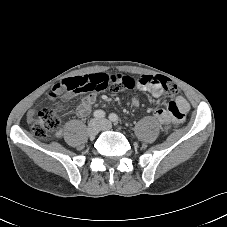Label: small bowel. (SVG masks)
<instances>
[{
	"instance_id": "c3829d8e",
	"label": "small bowel",
	"mask_w": 227,
	"mask_h": 227,
	"mask_svg": "<svg viewBox=\"0 0 227 227\" xmlns=\"http://www.w3.org/2000/svg\"><path fill=\"white\" fill-rule=\"evenodd\" d=\"M109 82L110 75L108 73H92L77 77H69L68 79L60 81L56 87L50 90V97L52 99L61 98L60 105H64L65 102L75 97L77 92H88V94L82 98L76 111L79 117H86L91 112V109L96 101L95 93L105 92ZM138 88L142 91L149 92L154 97H160L164 94V89L159 84H138ZM189 108L190 106L187 100L184 97L177 95L169 103L166 109H156L154 114L162 124L169 127L180 123L189 111ZM34 114V110H30L28 112L27 118L29 122L33 121Z\"/></svg>"
}]
</instances>
